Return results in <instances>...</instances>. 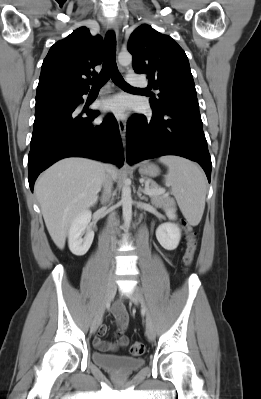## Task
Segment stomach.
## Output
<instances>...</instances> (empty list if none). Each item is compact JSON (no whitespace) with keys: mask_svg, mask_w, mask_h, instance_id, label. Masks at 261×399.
I'll return each instance as SVG.
<instances>
[{"mask_svg":"<svg viewBox=\"0 0 261 399\" xmlns=\"http://www.w3.org/2000/svg\"><path fill=\"white\" fill-rule=\"evenodd\" d=\"M139 172L142 175L150 176V177H155L159 174L160 170L159 168L153 164V163H143L140 168Z\"/></svg>","mask_w":261,"mask_h":399,"instance_id":"stomach-1","label":"stomach"}]
</instances>
